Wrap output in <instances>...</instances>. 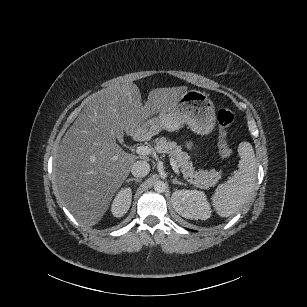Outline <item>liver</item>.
<instances>
[{
	"label": "liver",
	"mask_w": 307,
	"mask_h": 307,
	"mask_svg": "<svg viewBox=\"0 0 307 307\" xmlns=\"http://www.w3.org/2000/svg\"><path fill=\"white\" fill-rule=\"evenodd\" d=\"M186 91L154 89L143 105L139 87L127 82L89 96L58 146L54 167L56 196L76 220L95 225L134 164L135 156L116 143V129L131 134L143 117L173 106Z\"/></svg>",
	"instance_id": "1"
}]
</instances>
